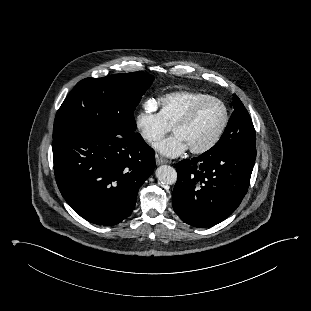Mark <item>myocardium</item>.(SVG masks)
Segmentation results:
<instances>
[{
	"label": "myocardium",
	"instance_id": "myocardium-1",
	"mask_svg": "<svg viewBox=\"0 0 311 311\" xmlns=\"http://www.w3.org/2000/svg\"><path fill=\"white\" fill-rule=\"evenodd\" d=\"M208 102H217L223 107V110H224L223 120H222V123H221L218 131L216 132L214 137L207 144H205L204 146L199 147V148H190V152L193 154L206 153L218 144V142L220 141L221 137L223 136V134H224V132L228 126V123H229V110H228L227 105L224 103V101H222L221 99H219L217 97H213V96L206 97V98L196 102L195 104H193L184 113V115L172 126V131L174 132L176 129L187 125L193 119V117L195 116L197 111L203 105H205Z\"/></svg>",
	"mask_w": 311,
	"mask_h": 311
}]
</instances>
